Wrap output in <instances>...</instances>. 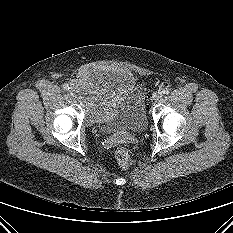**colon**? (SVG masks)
Here are the masks:
<instances>
[{
	"label": "colon",
	"instance_id": "5ec220e1",
	"mask_svg": "<svg viewBox=\"0 0 233 233\" xmlns=\"http://www.w3.org/2000/svg\"><path fill=\"white\" fill-rule=\"evenodd\" d=\"M115 159L122 168H128L131 162L129 152L124 147H119L115 151Z\"/></svg>",
	"mask_w": 233,
	"mask_h": 233
}]
</instances>
